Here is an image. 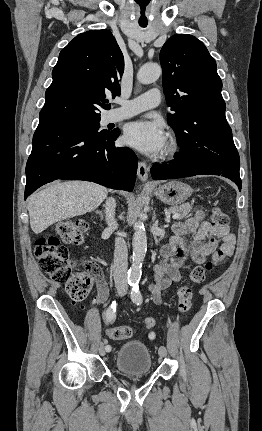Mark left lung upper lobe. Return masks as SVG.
Returning a JSON list of instances; mask_svg holds the SVG:
<instances>
[{"instance_id":"obj_1","label":"left lung upper lobe","mask_w":262,"mask_h":431,"mask_svg":"<svg viewBox=\"0 0 262 431\" xmlns=\"http://www.w3.org/2000/svg\"><path fill=\"white\" fill-rule=\"evenodd\" d=\"M169 125L177 134L183 159L208 161L236 149L225 117L217 65L196 37L176 34L160 51Z\"/></svg>"}]
</instances>
